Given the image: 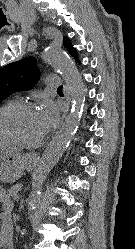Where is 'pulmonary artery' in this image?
I'll list each match as a JSON object with an SVG mask.
<instances>
[{"label":"pulmonary artery","mask_w":135,"mask_h":249,"mask_svg":"<svg viewBox=\"0 0 135 249\" xmlns=\"http://www.w3.org/2000/svg\"><path fill=\"white\" fill-rule=\"evenodd\" d=\"M46 84L51 88L58 87L60 85V79L58 76H48L46 78Z\"/></svg>","instance_id":"obj_1"}]
</instances>
